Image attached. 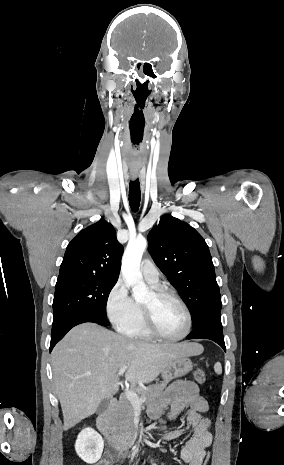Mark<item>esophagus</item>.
Wrapping results in <instances>:
<instances>
[{"instance_id":"obj_1","label":"esophagus","mask_w":284,"mask_h":465,"mask_svg":"<svg viewBox=\"0 0 284 465\" xmlns=\"http://www.w3.org/2000/svg\"><path fill=\"white\" fill-rule=\"evenodd\" d=\"M138 175V170H130V176L132 180H136Z\"/></svg>"}]
</instances>
